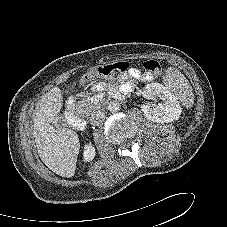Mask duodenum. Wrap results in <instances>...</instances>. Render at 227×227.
Segmentation results:
<instances>
[{
  "label": "duodenum",
  "instance_id": "obj_1",
  "mask_svg": "<svg viewBox=\"0 0 227 227\" xmlns=\"http://www.w3.org/2000/svg\"><path fill=\"white\" fill-rule=\"evenodd\" d=\"M65 117L75 130L82 131L86 129L87 122L82 117L76 115V109L74 104H70L67 106V108L65 109Z\"/></svg>",
  "mask_w": 227,
  "mask_h": 227
}]
</instances>
